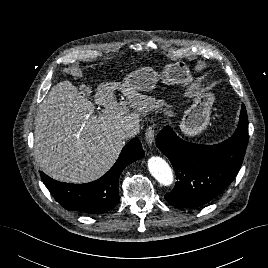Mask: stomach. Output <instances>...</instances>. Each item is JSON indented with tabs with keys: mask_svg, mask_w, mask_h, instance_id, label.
Wrapping results in <instances>:
<instances>
[{
	"mask_svg": "<svg viewBox=\"0 0 268 268\" xmlns=\"http://www.w3.org/2000/svg\"><path fill=\"white\" fill-rule=\"evenodd\" d=\"M170 85L187 86L192 89L193 76L188 65L183 62L166 64L161 75L151 67H142L127 74L121 86L136 91H152L159 79ZM214 102L212 93H196L193 104L184 111L180 128L188 136H195L205 130L210 122Z\"/></svg>",
	"mask_w": 268,
	"mask_h": 268,
	"instance_id": "0dacf381",
	"label": "stomach"
}]
</instances>
